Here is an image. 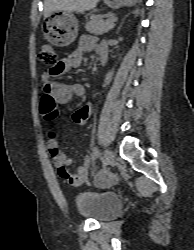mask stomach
I'll use <instances>...</instances> for the list:
<instances>
[{"label": "stomach", "mask_w": 194, "mask_h": 250, "mask_svg": "<svg viewBox=\"0 0 194 250\" xmlns=\"http://www.w3.org/2000/svg\"><path fill=\"white\" fill-rule=\"evenodd\" d=\"M105 3L114 9L123 5H132L137 0H104ZM45 39L53 45L66 47L70 45L78 35V21L72 12L57 10L46 17L43 26Z\"/></svg>", "instance_id": "stomach-1"}]
</instances>
